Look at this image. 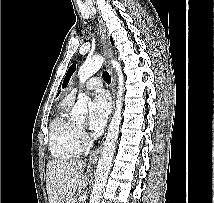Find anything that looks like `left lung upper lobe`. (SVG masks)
<instances>
[{
	"mask_svg": "<svg viewBox=\"0 0 214 203\" xmlns=\"http://www.w3.org/2000/svg\"><path fill=\"white\" fill-rule=\"evenodd\" d=\"M111 43L113 44V39L111 38ZM75 68H76V65L75 64H73L69 69H68V71H67V74H66V76H65V78H64V81H63V88H65L66 86H67V84H68V82H69V80H70V77H71V75L74 73V71H75ZM60 92V91H59ZM59 92H58V94H59ZM57 94V95H58Z\"/></svg>",
	"mask_w": 214,
	"mask_h": 203,
	"instance_id": "1",
	"label": "left lung upper lobe"
}]
</instances>
